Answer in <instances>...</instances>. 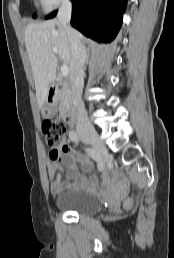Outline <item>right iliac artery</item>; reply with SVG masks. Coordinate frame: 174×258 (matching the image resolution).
<instances>
[{
    "instance_id": "obj_1",
    "label": "right iliac artery",
    "mask_w": 174,
    "mask_h": 258,
    "mask_svg": "<svg viewBox=\"0 0 174 258\" xmlns=\"http://www.w3.org/2000/svg\"><path fill=\"white\" fill-rule=\"evenodd\" d=\"M69 137L72 141L78 143L79 142V136L78 134L75 132V131H71L70 134H69ZM86 153L91 157L93 158L94 160L97 161L98 163V169L99 171H103L104 170V162L102 161L101 157H100V154L95 151L93 148H86Z\"/></svg>"
}]
</instances>
